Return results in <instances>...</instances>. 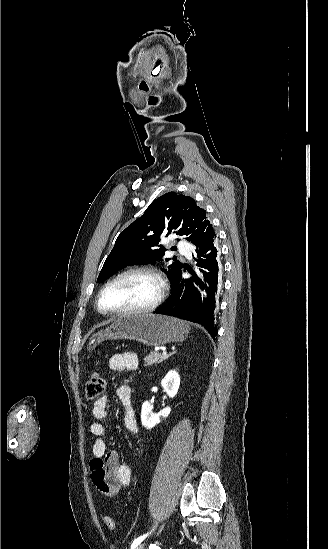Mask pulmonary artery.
I'll use <instances>...</instances> for the list:
<instances>
[{"label": "pulmonary artery", "instance_id": "pulmonary-artery-1", "mask_svg": "<svg viewBox=\"0 0 328 549\" xmlns=\"http://www.w3.org/2000/svg\"><path fill=\"white\" fill-rule=\"evenodd\" d=\"M172 248H173L175 251H179V250L182 248V245H181L179 242H175V243L172 245Z\"/></svg>", "mask_w": 328, "mask_h": 549}]
</instances>
